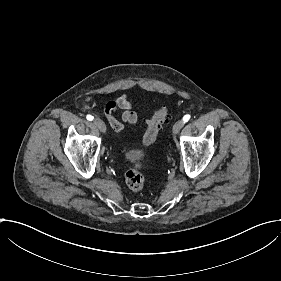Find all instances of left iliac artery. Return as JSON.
Here are the masks:
<instances>
[{"mask_svg": "<svg viewBox=\"0 0 281 281\" xmlns=\"http://www.w3.org/2000/svg\"><path fill=\"white\" fill-rule=\"evenodd\" d=\"M189 119H190V115H188V114L185 115V116L183 117L184 123L187 122Z\"/></svg>", "mask_w": 281, "mask_h": 281, "instance_id": "1", "label": "left iliac artery"}]
</instances>
